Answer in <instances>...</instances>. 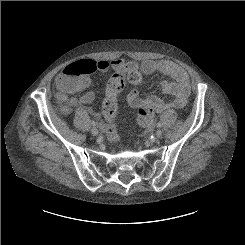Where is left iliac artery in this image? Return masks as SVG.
<instances>
[{
    "mask_svg": "<svg viewBox=\"0 0 245 245\" xmlns=\"http://www.w3.org/2000/svg\"><path fill=\"white\" fill-rule=\"evenodd\" d=\"M157 127H159V128L161 127V122L157 123Z\"/></svg>",
    "mask_w": 245,
    "mask_h": 245,
    "instance_id": "1",
    "label": "left iliac artery"
}]
</instances>
